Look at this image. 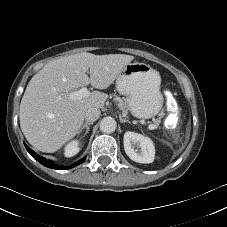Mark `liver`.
Masks as SVG:
<instances>
[{"instance_id":"6515ba94","label":"liver","mask_w":227,"mask_h":227,"mask_svg":"<svg viewBox=\"0 0 227 227\" xmlns=\"http://www.w3.org/2000/svg\"><path fill=\"white\" fill-rule=\"evenodd\" d=\"M133 59L125 54L81 52L46 64L29 81L20 104V127L27 141L42 152L59 150L78 134L85 112L102 109L108 98L100 91L80 100H71L69 94L89 84L107 89Z\"/></svg>"}]
</instances>
